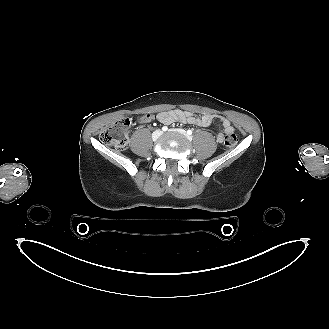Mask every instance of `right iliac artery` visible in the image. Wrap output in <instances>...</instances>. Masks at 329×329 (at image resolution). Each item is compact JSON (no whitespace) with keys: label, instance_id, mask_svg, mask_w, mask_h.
Here are the masks:
<instances>
[{"label":"right iliac artery","instance_id":"82829eb1","mask_svg":"<svg viewBox=\"0 0 329 329\" xmlns=\"http://www.w3.org/2000/svg\"><path fill=\"white\" fill-rule=\"evenodd\" d=\"M162 130L166 131V130H168V128L166 126H164V127H162Z\"/></svg>","mask_w":329,"mask_h":329}]
</instances>
